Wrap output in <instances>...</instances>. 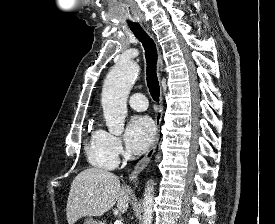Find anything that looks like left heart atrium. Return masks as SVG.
Returning <instances> with one entry per match:
<instances>
[{
    "label": "left heart atrium",
    "instance_id": "obj_1",
    "mask_svg": "<svg viewBox=\"0 0 275 224\" xmlns=\"http://www.w3.org/2000/svg\"><path fill=\"white\" fill-rule=\"evenodd\" d=\"M155 125L148 116H135L125 132L126 146L136 154L145 152L155 137Z\"/></svg>",
    "mask_w": 275,
    "mask_h": 224
}]
</instances>
